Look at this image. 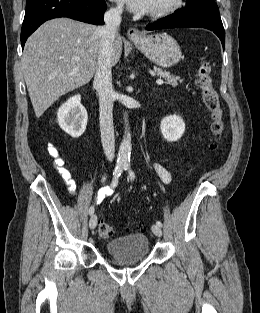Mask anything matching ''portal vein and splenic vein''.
I'll list each match as a JSON object with an SVG mask.
<instances>
[{
	"label": "portal vein and splenic vein",
	"instance_id": "18ae733b",
	"mask_svg": "<svg viewBox=\"0 0 260 313\" xmlns=\"http://www.w3.org/2000/svg\"><path fill=\"white\" fill-rule=\"evenodd\" d=\"M75 59L78 60V58H75ZM156 83L159 84V85H161V84H163V80H162V79H158V80L156 81Z\"/></svg>",
	"mask_w": 260,
	"mask_h": 313
}]
</instances>
